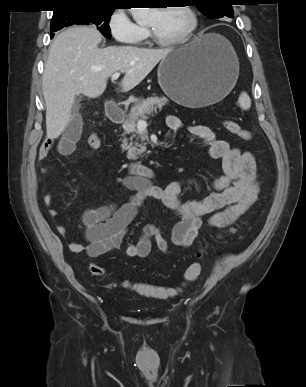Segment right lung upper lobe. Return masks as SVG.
Masks as SVG:
<instances>
[{"instance_id":"cb5924a9","label":"right lung upper lobe","mask_w":306,"mask_h":387,"mask_svg":"<svg viewBox=\"0 0 306 387\" xmlns=\"http://www.w3.org/2000/svg\"><path fill=\"white\" fill-rule=\"evenodd\" d=\"M57 9L54 14H57L64 9L74 7H109L113 8L116 0H57Z\"/></svg>"}]
</instances>
